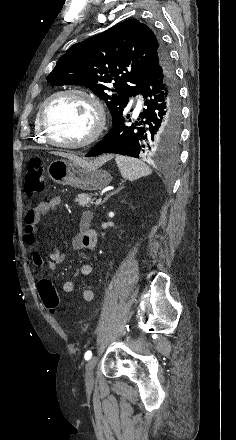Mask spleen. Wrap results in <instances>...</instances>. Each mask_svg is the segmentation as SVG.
I'll use <instances>...</instances> for the list:
<instances>
[{
	"mask_svg": "<svg viewBox=\"0 0 236 440\" xmlns=\"http://www.w3.org/2000/svg\"><path fill=\"white\" fill-rule=\"evenodd\" d=\"M115 161L123 178L135 181L143 176L151 174L150 167L139 159L117 155Z\"/></svg>",
	"mask_w": 236,
	"mask_h": 440,
	"instance_id": "obj_1",
	"label": "spleen"
}]
</instances>
